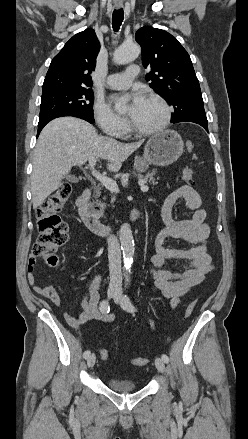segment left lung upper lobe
Instances as JSON below:
<instances>
[{"mask_svg": "<svg viewBox=\"0 0 248 439\" xmlns=\"http://www.w3.org/2000/svg\"><path fill=\"white\" fill-rule=\"evenodd\" d=\"M142 48V63L151 67L149 86L174 107L171 122L181 118H204L206 114L199 81L189 54L168 32L145 26L135 34Z\"/></svg>", "mask_w": 248, "mask_h": 439, "instance_id": "obj_1", "label": "left lung upper lobe"}]
</instances>
